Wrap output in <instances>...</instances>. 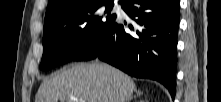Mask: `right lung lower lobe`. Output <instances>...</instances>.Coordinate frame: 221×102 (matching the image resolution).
<instances>
[{
  "label": "right lung lower lobe",
  "instance_id": "right-lung-lower-lobe-1",
  "mask_svg": "<svg viewBox=\"0 0 221 102\" xmlns=\"http://www.w3.org/2000/svg\"><path fill=\"white\" fill-rule=\"evenodd\" d=\"M122 9L134 21L125 31L115 21L74 60L95 58L131 76L162 83L175 97L177 67L178 0H122Z\"/></svg>",
  "mask_w": 221,
  "mask_h": 102
}]
</instances>
